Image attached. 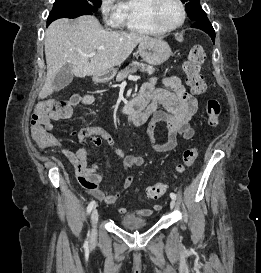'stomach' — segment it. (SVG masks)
Masks as SVG:
<instances>
[{
  "label": "stomach",
  "mask_w": 261,
  "mask_h": 273,
  "mask_svg": "<svg viewBox=\"0 0 261 273\" xmlns=\"http://www.w3.org/2000/svg\"><path fill=\"white\" fill-rule=\"evenodd\" d=\"M138 52L141 58L151 65H161L172 55V51L168 43L159 38H151L141 41L138 46ZM114 74L115 70L111 69L104 77H95L94 81H107L111 79Z\"/></svg>",
  "instance_id": "0dacf381"
}]
</instances>
